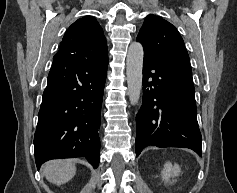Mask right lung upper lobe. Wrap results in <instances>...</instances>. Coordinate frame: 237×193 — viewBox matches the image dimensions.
I'll list each match as a JSON object with an SVG mask.
<instances>
[{
  "mask_svg": "<svg viewBox=\"0 0 237 193\" xmlns=\"http://www.w3.org/2000/svg\"><path fill=\"white\" fill-rule=\"evenodd\" d=\"M57 54L79 61L108 57L106 39L96 19L85 16L75 21L66 31Z\"/></svg>",
  "mask_w": 237,
  "mask_h": 193,
  "instance_id": "obj_1",
  "label": "right lung upper lobe"
}]
</instances>
